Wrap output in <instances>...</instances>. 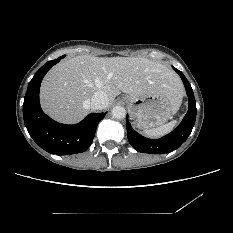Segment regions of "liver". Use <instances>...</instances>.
<instances>
[{
    "label": "liver",
    "mask_w": 233,
    "mask_h": 233,
    "mask_svg": "<svg viewBox=\"0 0 233 233\" xmlns=\"http://www.w3.org/2000/svg\"><path fill=\"white\" fill-rule=\"evenodd\" d=\"M97 91L108 105L121 92L145 96L161 93L180 106L184 89L178 75L166 65L143 57H94L80 55L55 65L44 77L40 102L54 120L73 124L91 108Z\"/></svg>",
    "instance_id": "6515ba94"
}]
</instances>
